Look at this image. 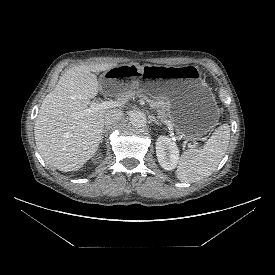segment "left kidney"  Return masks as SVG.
I'll return each mask as SVG.
<instances>
[{"label": "left kidney", "mask_w": 275, "mask_h": 275, "mask_svg": "<svg viewBox=\"0 0 275 275\" xmlns=\"http://www.w3.org/2000/svg\"><path fill=\"white\" fill-rule=\"evenodd\" d=\"M156 156L165 170H173L179 159V150L176 144L167 136H160L156 141Z\"/></svg>", "instance_id": "obj_1"}]
</instances>
